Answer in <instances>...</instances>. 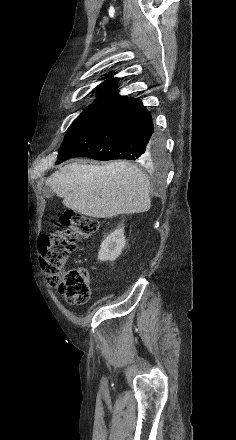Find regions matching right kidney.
Listing matches in <instances>:
<instances>
[{
	"label": "right kidney",
	"instance_id": "right-kidney-1",
	"mask_svg": "<svg viewBox=\"0 0 236 440\" xmlns=\"http://www.w3.org/2000/svg\"><path fill=\"white\" fill-rule=\"evenodd\" d=\"M125 244L124 228L116 229L101 243L98 259L100 261L115 260L121 254Z\"/></svg>",
	"mask_w": 236,
	"mask_h": 440
}]
</instances>
